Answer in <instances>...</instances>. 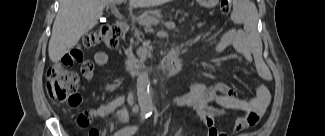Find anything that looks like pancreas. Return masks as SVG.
<instances>
[{"label": "pancreas", "mask_w": 325, "mask_h": 136, "mask_svg": "<svg viewBox=\"0 0 325 136\" xmlns=\"http://www.w3.org/2000/svg\"><path fill=\"white\" fill-rule=\"evenodd\" d=\"M166 15L170 16L171 18L173 17L174 19H178V23L179 24H187L188 23V19H192L193 18V13L192 12H185L183 9H181L180 5H174L173 9H167L166 10ZM139 28L141 27L140 25L138 26ZM133 38H135V40L138 39H142L144 38V33H139L141 30L138 28H133ZM139 31V32H138ZM140 49V48H139Z\"/></svg>", "instance_id": "cf45deb5"}]
</instances>
